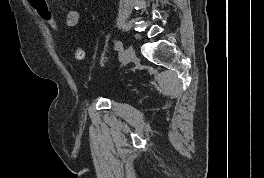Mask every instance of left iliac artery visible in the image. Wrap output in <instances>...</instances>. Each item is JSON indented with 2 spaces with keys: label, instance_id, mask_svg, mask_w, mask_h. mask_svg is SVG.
Segmentation results:
<instances>
[{
  "label": "left iliac artery",
  "instance_id": "left-iliac-artery-1",
  "mask_svg": "<svg viewBox=\"0 0 264 178\" xmlns=\"http://www.w3.org/2000/svg\"><path fill=\"white\" fill-rule=\"evenodd\" d=\"M122 47H123V44H122L121 41H117V42L115 43V49H116V50L122 49Z\"/></svg>",
  "mask_w": 264,
  "mask_h": 178
}]
</instances>
